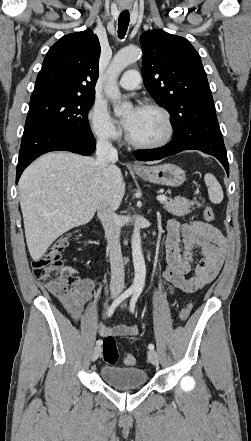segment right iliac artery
Here are the masks:
<instances>
[{
  "label": "right iliac artery",
  "instance_id": "right-iliac-artery-1",
  "mask_svg": "<svg viewBox=\"0 0 251 441\" xmlns=\"http://www.w3.org/2000/svg\"><path fill=\"white\" fill-rule=\"evenodd\" d=\"M135 292L134 288H128L127 290H125L119 297H117L113 303L111 304V306L108 308L107 314L109 317L112 316V314L114 313L115 309L119 306V304L124 301L126 298H128L130 295H132ZM96 344L98 346H100L102 344V340H97Z\"/></svg>",
  "mask_w": 251,
  "mask_h": 441
}]
</instances>
